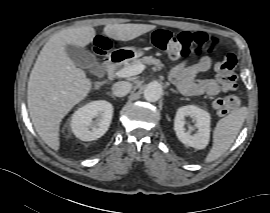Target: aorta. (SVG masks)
Instances as JSON below:
<instances>
[{
	"instance_id": "762f6f07",
	"label": "aorta",
	"mask_w": 270,
	"mask_h": 213,
	"mask_svg": "<svg viewBox=\"0 0 270 213\" xmlns=\"http://www.w3.org/2000/svg\"><path fill=\"white\" fill-rule=\"evenodd\" d=\"M163 89L160 83L153 81L146 85L144 98L149 102H156L162 96Z\"/></svg>"
}]
</instances>
